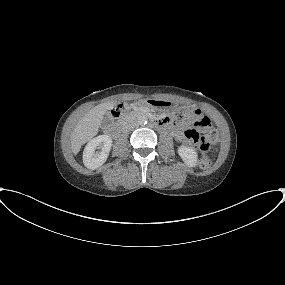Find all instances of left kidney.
Segmentation results:
<instances>
[{
    "instance_id": "1",
    "label": "left kidney",
    "mask_w": 285,
    "mask_h": 285,
    "mask_svg": "<svg viewBox=\"0 0 285 285\" xmlns=\"http://www.w3.org/2000/svg\"><path fill=\"white\" fill-rule=\"evenodd\" d=\"M178 154L188 166L195 167L197 165L198 155L194 148L181 146L178 148Z\"/></svg>"
}]
</instances>
